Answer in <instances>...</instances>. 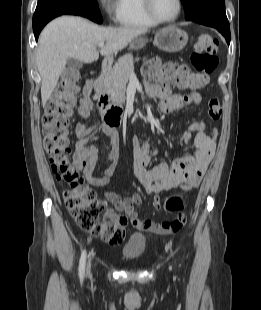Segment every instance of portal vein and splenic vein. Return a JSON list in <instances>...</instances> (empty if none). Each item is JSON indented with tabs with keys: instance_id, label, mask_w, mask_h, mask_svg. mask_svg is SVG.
<instances>
[{
	"instance_id": "18ae733b",
	"label": "portal vein and splenic vein",
	"mask_w": 261,
	"mask_h": 310,
	"mask_svg": "<svg viewBox=\"0 0 261 310\" xmlns=\"http://www.w3.org/2000/svg\"><path fill=\"white\" fill-rule=\"evenodd\" d=\"M98 47L103 48V47H104V43H99V44H98ZM130 77H135V73H134L133 70H132L131 73H130Z\"/></svg>"
}]
</instances>
